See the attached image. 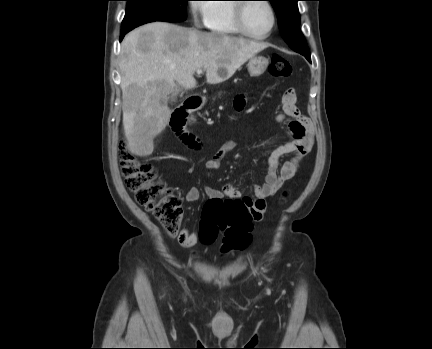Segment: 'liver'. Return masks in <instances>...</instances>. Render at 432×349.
<instances>
[{"label":"liver","mask_w":432,"mask_h":349,"mask_svg":"<svg viewBox=\"0 0 432 349\" xmlns=\"http://www.w3.org/2000/svg\"><path fill=\"white\" fill-rule=\"evenodd\" d=\"M268 46L166 22L130 31L121 43L119 63L123 126L130 151L138 156L152 153L154 138L170 120L169 95H176L178 86L196 87L197 70L206 71L209 84L223 82Z\"/></svg>","instance_id":"1"}]
</instances>
